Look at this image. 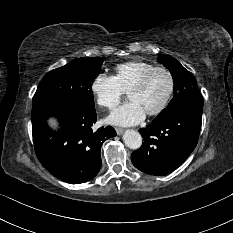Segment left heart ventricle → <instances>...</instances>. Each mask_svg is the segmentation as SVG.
<instances>
[{"instance_id":"left-heart-ventricle-1","label":"left heart ventricle","mask_w":233,"mask_h":233,"mask_svg":"<svg viewBox=\"0 0 233 233\" xmlns=\"http://www.w3.org/2000/svg\"><path fill=\"white\" fill-rule=\"evenodd\" d=\"M169 89V78L164 72L155 73L146 86L138 92L128 95L130 101L137 102L146 113L158 108Z\"/></svg>"}]
</instances>
